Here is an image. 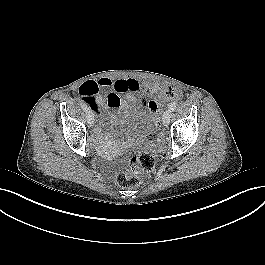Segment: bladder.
Segmentation results:
<instances>
[{
    "label": "bladder",
    "mask_w": 265,
    "mask_h": 265,
    "mask_svg": "<svg viewBox=\"0 0 265 265\" xmlns=\"http://www.w3.org/2000/svg\"><path fill=\"white\" fill-rule=\"evenodd\" d=\"M131 112L125 121V126L136 133H148L157 126L154 113L148 108L145 97L141 93L134 94Z\"/></svg>",
    "instance_id": "obj_1"
}]
</instances>
